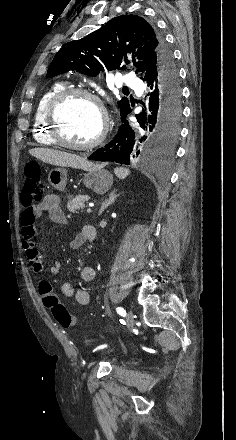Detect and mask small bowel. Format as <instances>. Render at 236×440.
Instances as JSON below:
<instances>
[{
    "mask_svg": "<svg viewBox=\"0 0 236 440\" xmlns=\"http://www.w3.org/2000/svg\"><path fill=\"white\" fill-rule=\"evenodd\" d=\"M43 213H47L50 220L58 225H65L67 220L65 213L61 207L59 196L50 194L36 204L26 207L21 214V244L27 258L30 261L33 271L40 274L44 271L41 253L37 250L34 244V237L37 233L36 220ZM96 238V230L90 225H85L81 228L80 233L72 242V247L78 249L86 241H92ZM60 269V263L54 262L49 267L51 274H57ZM81 280L85 283H91L95 278V272L91 267H83L80 272ZM63 295L73 298L80 305H87L90 302V294L87 290L77 289L70 282H64L61 286ZM41 300L47 309L48 305L45 303L44 296L41 295Z\"/></svg>",
    "mask_w": 236,
    "mask_h": 440,
    "instance_id": "1",
    "label": "small bowel"
}]
</instances>
